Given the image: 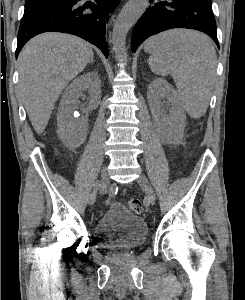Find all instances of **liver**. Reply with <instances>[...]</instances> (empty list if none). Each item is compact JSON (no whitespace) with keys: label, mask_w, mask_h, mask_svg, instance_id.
Masks as SVG:
<instances>
[{"label":"liver","mask_w":245,"mask_h":300,"mask_svg":"<svg viewBox=\"0 0 245 300\" xmlns=\"http://www.w3.org/2000/svg\"><path fill=\"white\" fill-rule=\"evenodd\" d=\"M93 55L89 43L65 33H43L23 47L18 57L19 90L38 134L46 128L59 95Z\"/></svg>","instance_id":"1"}]
</instances>
